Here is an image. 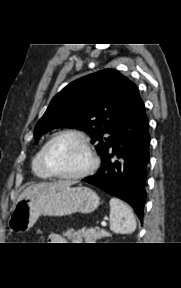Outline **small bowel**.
Wrapping results in <instances>:
<instances>
[{"instance_id": "obj_1", "label": "small bowel", "mask_w": 181, "mask_h": 288, "mask_svg": "<svg viewBox=\"0 0 181 288\" xmlns=\"http://www.w3.org/2000/svg\"><path fill=\"white\" fill-rule=\"evenodd\" d=\"M63 238L61 235L57 233H53L49 236L48 242L49 243H60L62 242Z\"/></svg>"}]
</instances>
